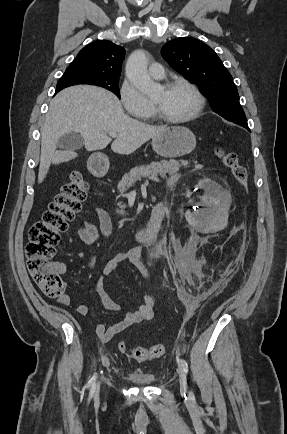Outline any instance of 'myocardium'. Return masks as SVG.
Listing matches in <instances>:
<instances>
[{
    "label": "myocardium",
    "mask_w": 287,
    "mask_h": 434,
    "mask_svg": "<svg viewBox=\"0 0 287 434\" xmlns=\"http://www.w3.org/2000/svg\"><path fill=\"white\" fill-rule=\"evenodd\" d=\"M174 87H184L187 88L195 97V106L193 110L186 116L180 117V118H171L166 116L158 107V105L152 101L153 105V111L155 116L160 119L161 121L168 123V124H184L186 122L192 121L195 118L199 116V114L202 112L205 104V99L200 92V90L191 82L185 79H172L169 81H166L162 84V88L164 89H171Z\"/></svg>",
    "instance_id": "myocardium-1"
}]
</instances>
